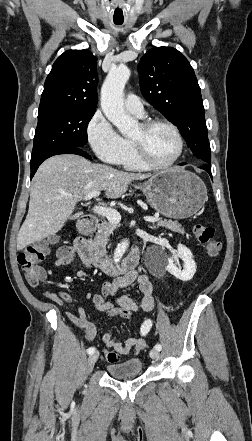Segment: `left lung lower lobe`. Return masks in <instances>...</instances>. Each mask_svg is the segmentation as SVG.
Here are the masks:
<instances>
[{
    "label": "left lung lower lobe",
    "instance_id": "0a47b994",
    "mask_svg": "<svg viewBox=\"0 0 252 441\" xmlns=\"http://www.w3.org/2000/svg\"><path fill=\"white\" fill-rule=\"evenodd\" d=\"M186 163H181L180 165H185ZM203 168L209 173V175L212 178V174H211V163H206L203 162Z\"/></svg>",
    "mask_w": 252,
    "mask_h": 441
}]
</instances>
